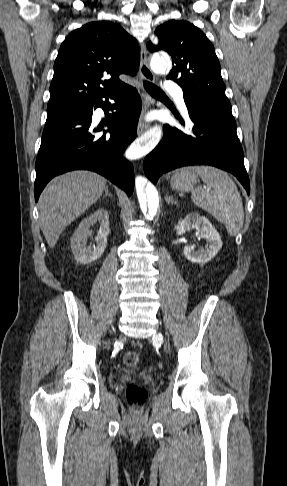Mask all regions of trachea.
Here are the masks:
<instances>
[{
  "instance_id": "1",
  "label": "trachea",
  "mask_w": 287,
  "mask_h": 486,
  "mask_svg": "<svg viewBox=\"0 0 287 486\" xmlns=\"http://www.w3.org/2000/svg\"><path fill=\"white\" fill-rule=\"evenodd\" d=\"M144 88L154 97L165 96V93L159 87L148 81H144Z\"/></svg>"
}]
</instances>
